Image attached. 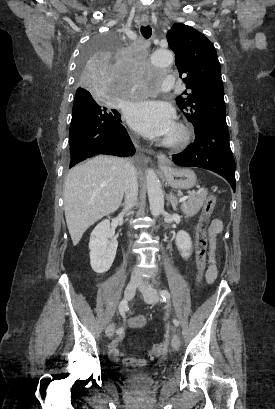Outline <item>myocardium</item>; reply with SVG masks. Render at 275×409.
<instances>
[{
	"instance_id": "myocardium-1",
	"label": "myocardium",
	"mask_w": 275,
	"mask_h": 409,
	"mask_svg": "<svg viewBox=\"0 0 275 409\" xmlns=\"http://www.w3.org/2000/svg\"><path fill=\"white\" fill-rule=\"evenodd\" d=\"M188 137L187 128L182 124H176L173 127V133L169 136H165L161 140V144L166 147H176L183 144Z\"/></svg>"
}]
</instances>
